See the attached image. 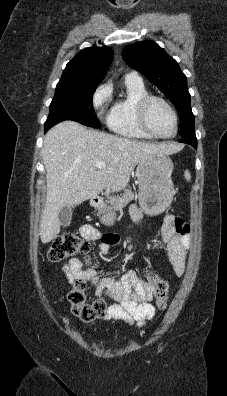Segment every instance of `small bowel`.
Wrapping results in <instances>:
<instances>
[{
	"mask_svg": "<svg viewBox=\"0 0 227 396\" xmlns=\"http://www.w3.org/2000/svg\"><path fill=\"white\" fill-rule=\"evenodd\" d=\"M131 215L136 221H141V213L132 206ZM81 235L90 240L100 239L99 252L107 254L112 246L117 244L118 236L100 233L91 226H83ZM160 241L167 248L169 263L177 276L184 273L191 237L189 226L181 218L167 214L160 228ZM68 280L73 283L83 279L91 286L97 298L112 295L115 303L108 306L105 320H119L138 326L144 325L155 316V308L151 304L154 297V287L147 281L140 280L134 271H126L119 280L99 278L95 271L86 268L79 258L71 259L63 266Z\"/></svg>",
	"mask_w": 227,
	"mask_h": 396,
	"instance_id": "c3829d8e",
	"label": "small bowel"
}]
</instances>
